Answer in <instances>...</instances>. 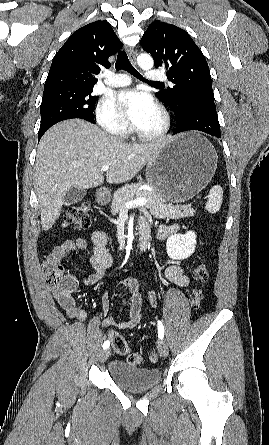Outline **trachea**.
Instances as JSON below:
<instances>
[{
	"label": "trachea",
	"instance_id": "trachea-1",
	"mask_svg": "<svg viewBox=\"0 0 269 445\" xmlns=\"http://www.w3.org/2000/svg\"><path fill=\"white\" fill-rule=\"evenodd\" d=\"M115 68L116 70H126L127 72H129L130 74H132L133 76H135L136 78L149 82V83H155V84H161L160 82H150L145 80L140 73L132 66V64L130 63L128 56L126 54L125 51H120L117 55V60L115 63Z\"/></svg>",
	"mask_w": 269,
	"mask_h": 445
}]
</instances>
